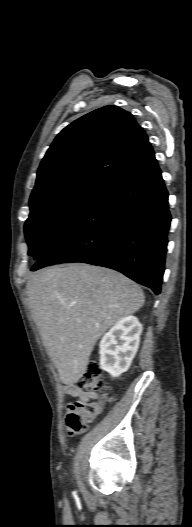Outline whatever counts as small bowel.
I'll list each match as a JSON object with an SVG mask.
<instances>
[{
	"mask_svg": "<svg viewBox=\"0 0 192 527\" xmlns=\"http://www.w3.org/2000/svg\"><path fill=\"white\" fill-rule=\"evenodd\" d=\"M66 391L68 394L72 396L79 397L82 401H89L90 399H93L96 397L94 393H88L81 390L80 387L74 384H69L66 386Z\"/></svg>",
	"mask_w": 192,
	"mask_h": 527,
	"instance_id": "c3829d8e",
	"label": "small bowel"
}]
</instances>
